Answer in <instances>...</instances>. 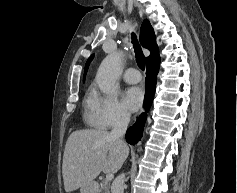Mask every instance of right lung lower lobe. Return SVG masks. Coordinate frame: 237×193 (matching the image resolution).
Returning <instances> with one entry per match:
<instances>
[{
  "instance_id": "right-lung-lower-lobe-1",
  "label": "right lung lower lobe",
  "mask_w": 237,
  "mask_h": 193,
  "mask_svg": "<svg viewBox=\"0 0 237 193\" xmlns=\"http://www.w3.org/2000/svg\"><path fill=\"white\" fill-rule=\"evenodd\" d=\"M160 66V57L154 59L147 63V71H146V79H145V86H146V94H145V110L148 112L149 108L152 104L155 87L157 82V74L159 71ZM146 113H143L136 121V123L128 128L126 132V140L129 144H136L142 137L143 127L146 120Z\"/></svg>"
}]
</instances>
